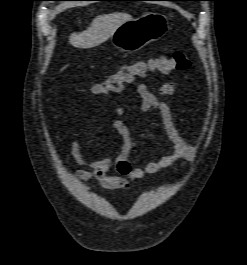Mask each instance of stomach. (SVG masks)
I'll use <instances>...</instances> for the list:
<instances>
[{
    "label": "stomach",
    "instance_id": "0dacf381",
    "mask_svg": "<svg viewBox=\"0 0 247 265\" xmlns=\"http://www.w3.org/2000/svg\"><path fill=\"white\" fill-rule=\"evenodd\" d=\"M168 28L164 14L149 12L123 23L112 35L111 42L121 52L133 53L160 39Z\"/></svg>",
    "mask_w": 247,
    "mask_h": 265
}]
</instances>
